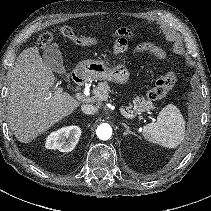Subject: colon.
Here are the masks:
<instances>
[{
    "label": "colon",
    "instance_id": "5ec220e1",
    "mask_svg": "<svg viewBox=\"0 0 211 211\" xmlns=\"http://www.w3.org/2000/svg\"><path fill=\"white\" fill-rule=\"evenodd\" d=\"M59 32L71 39L72 41L82 44L84 39L79 36L71 27L63 26ZM117 41L115 48L118 52L125 51L127 49V39L130 38V33L119 30L117 32ZM53 36L51 33H44L40 35L37 41V45L40 48H46L52 41ZM135 52H151L159 58H164L165 53L159 47L151 43L139 44L134 49ZM176 82V74L174 72H168L160 77L154 84V86L148 91L147 98L151 101H157L162 99L174 86Z\"/></svg>",
    "mask_w": 211,
    "mask_h": 211
}]
</instances>
